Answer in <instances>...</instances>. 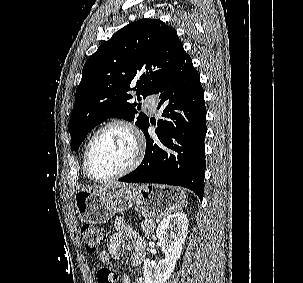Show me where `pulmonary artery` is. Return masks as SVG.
I'll return each instance as SVG.
<instances>
[{
    "instance_id": "obj_1",
    "label": "pulmonary artery",
    "mask_w": 303,
    "mask_h": 283,
    "mask_svg": "<svg viewBox=\"0 0 303 283\" xmlns=\"http://www.w3.org/2000/svg\"><path fill=\"white\" fill-rule=\"evenodd\" d=\"M157 100L154 95H148L144 100V106L148 108L150 111H156Z\"/></svg>"
}]
</instances>
